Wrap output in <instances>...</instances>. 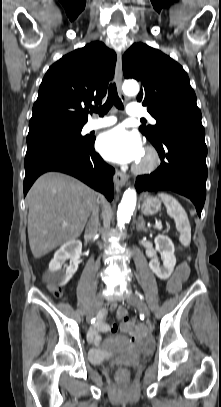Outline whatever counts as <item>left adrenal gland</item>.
Listing matches in <instances>:
<instances>
[{
	"label": "left adrenal gland",
	"mask_w": 221,
	"mask_h": 407,
	"mask_svg": "<svg viewBox=\"0 0 221 407\" xmlns=\"http://www.w3.org/2000/svg\"><path fill=\"white\" fill-rule=\"evenodd\" d=\"M136 227H137V230H138V231H139V230L146 231L145 222H144L143 216H139V218H138V223H137Z\"/></svg>",
	"instance_id": "a2214340"
}]
</instances>
